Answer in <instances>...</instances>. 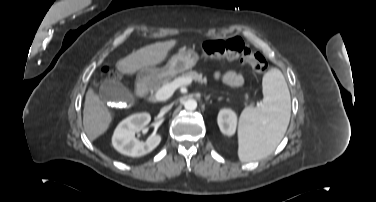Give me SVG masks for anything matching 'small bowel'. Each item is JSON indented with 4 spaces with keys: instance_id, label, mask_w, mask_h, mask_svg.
I'll return each mask as SVG.
<instances>
[{
    "instance_id": "c3829d8e",
    "label": "small bowel",
    "mask_w": 376,
    "mask_h": 202,
    "mask_svg": "<svg viewBox=\"0 0 376 202\" xmlns=\"http://www.w3.org/2000/svg\"><path fill=\"white\" fill-rule=\"evenodd\" d=\"M222 80L224 83L230 86H239L243 82L242 77L234 71L226 72L224 75H222Z\"/></svg>"
}]
</instances>
